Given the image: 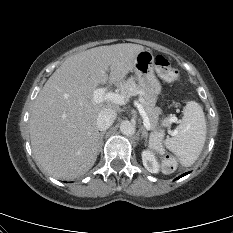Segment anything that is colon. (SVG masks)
I'll return each instance as SVG.
<instances>
[{
    "label": "colon",
    "mask_w": 233,
    "mask_h": 233,
    "mask_svg": "<svg viewBox=\"0 0 233 233\" xmlns=\"http://www.w3.org/2000/svg\"><path fill=\"white\" fill-rule=\"evenodd\" d=\"M154 65L158 75L166 82L172 83L178 80L179 72L174 68L169 60L162 55H157L154 58ZM164 134L161 130L151 134L149 139L150 149L160 156V168L163 173L171 174L176 171L178 163L176 158L171 154H166L164 148Z\"/></svg>",
    "instance_id": "colon-1"
}]
</instances>
